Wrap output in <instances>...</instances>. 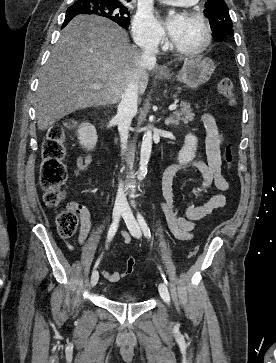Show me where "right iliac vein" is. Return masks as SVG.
Wrapping results in <instances>:
<instances>
[{
    "instance_id": "63e3f726",
    "label": "right iliac vein",
    "mask_w": 276,
    "mask_h": 363,
    "mask_svg": "<svg viewBox=\"0 0 276 363\" xmlns=\"http://www.w3.org/2000/svg\"><path fill=\"white\" fill-rule=\"evenodd\" d=\"M124 211V207L121 206V205H117L114 207V210H113V221L116 222L119 220L121 214L123 213ZM98 278H99V273L98 271H94L92 273V276H91V286L94 287L97 282H98Z\"/></svg>"
}]
</instances>
